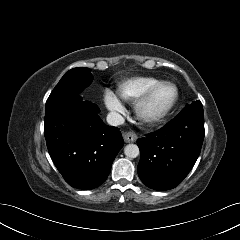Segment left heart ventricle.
Returning <instances> with one entry per match:
<instances>
[{"instance_id": "b2bd125f", "label": "left heart ventricle", "mask_w": 240, "mask_h": 240, "mask_svg": "<svg viewBox=\"0 0 240 240\" xmlns=\"http://www.w3.org/2000/svg\"><path fill=\"white\" fill-rule=\"evenodd\" d=\"M175 96L173 87L167 86L159 89L151 98L147 105L149 113H158L163 111L172 102Z\"/></svg>"}]
</instances>
